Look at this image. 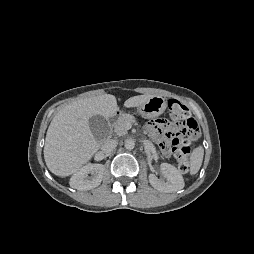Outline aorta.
I'll return each mask as SVG.
<instances>
[{
	"mask_svg": "<svg viewBox=\"0 0 254 254\" xmlns=\"http://www.w3.org/2000/svg\"><path fill=\"white\" fill-rule=\"evenodd\" d=\"M135 146V142L132 139H126L125 140V148L127 150H132Z\"/></svg>",
	"mask_w": 254,
	"mask_h": 254,
	"instance_id": "762f6f07",
	"label": "aorta"
}]
</instances>
